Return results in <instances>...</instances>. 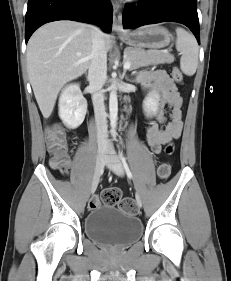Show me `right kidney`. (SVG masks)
Segmentation results:
<instances>
[{
    "instance_id": "right-kidney-1",
    "label": "right kidney",
    "mask_w": 231,
    "mask_h": 281,
    "mask_svg": "<svg viewBox=\"0 0 231 281\" xmlns=\"http://www.w3.org/2000/svg\"><path fill=\"white\" fill-rule=\"evenodd\" d=\"M87 112V101L78 84L67 85L59 98V116L67 128L79 127Z\"/></svg>"
}]
</instances>
